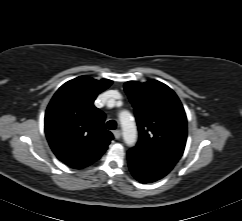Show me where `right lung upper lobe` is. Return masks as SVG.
<instances>
[{
	"label": "right lung upper lobe",
	"instance_id": "right-lung-upper-lobe-1",
	"mask_svg": "<svg viewBox=\"0 0 242 221\" xmlns=\"http://www.w3.org/2000/svg\"><path fill=\"white\" fill-rule=\"evenodd\" d=\"M112 84L80 76L63 84L45 114V133L59 160L82 169L98 160L113 139L104 128L105 114L93 104L97 95Z\"/></svg>",
	"mask_w": 242,
	"mask_h": 221
}]
</instances>
